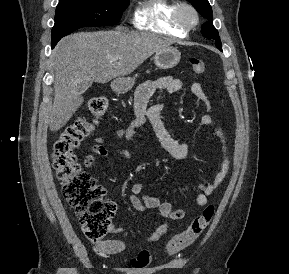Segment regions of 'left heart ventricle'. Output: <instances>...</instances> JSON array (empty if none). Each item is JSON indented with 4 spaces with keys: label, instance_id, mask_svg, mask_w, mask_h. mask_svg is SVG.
Returning a JSON list of instances; mask_svg holds the SVG:
<instances>
[{
    "label": "left heart ventricle",
    "instance_id": "1",
    "mask_svg": "<svg viewBox=\"0 0 289 274\" xmlns=\"http://www.w3.org/2000/svg\"><path fill=\"white\" fill-rule=\"evenodd\" d=\"M186 17H187V18H190V15H189V14H186Z\"/></svg>",
    "mask_w": 289,
    "mask_h": 274
}]
</instances>
